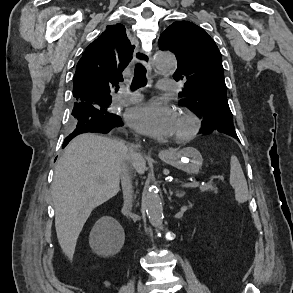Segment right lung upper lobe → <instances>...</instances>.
I'll return each mask as SVG.
<instances>
[{
    "mask_svg": "<svg viewBox=\"0 0 293 293\" xmlns=\"http://www.w3.org/2000/svg\"><path fill=\"white\" fill-rule=\"evenodd\" d=\"M133 49L124 25L107 26L86 48L76 66L73 79L75 101L95 106L97 99L111 100V93L123 80L122 71L131 60Z\"/></svg>",
    "mask_w": 293,
    "mask_h": 293,
    "instance_id": "obj_1",
    "label": "right lung upper lobe"
}]
</instances>
